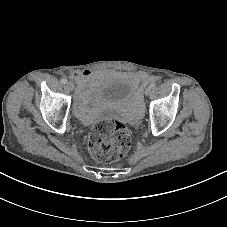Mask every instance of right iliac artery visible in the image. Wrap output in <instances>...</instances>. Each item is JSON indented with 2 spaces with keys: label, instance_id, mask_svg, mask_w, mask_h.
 I'll list each match as a JSON object with an SVG mask.
<instances>
[{
  "label": "right iliac artery",
  "instance_id": "obj_1",
  "mask_svg": "<svg viewBox=\"0 0 227 227\" xmlns=\"http://www.w3.org/2000/svg\"><path fill=\"white\" fill-rule=\"evenodd\" d=\"M61 83L62 84H66L67 83V80L65 78L61 79Z\"/></svg>",
  "mask_w": 227,
  "mask_h": 227
}]
</instances>
